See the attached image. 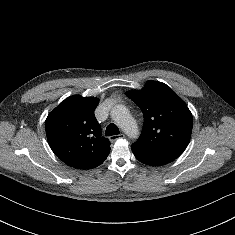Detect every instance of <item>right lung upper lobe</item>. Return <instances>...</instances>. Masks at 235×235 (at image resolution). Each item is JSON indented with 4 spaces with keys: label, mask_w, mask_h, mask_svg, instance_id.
<instances>
[{
    "label": "right lung upper lobe",
    "mask_w": 235,
    "mask_h": 235,
    "mask_svg": "<svg viewBox=\"0 0 235 235\" xmlns=\"http://www.w3.org/2000/svg\"><path fill=\"white\" fill-rule=\"evenodd\" d=\"M98 103V98L73 95L46 119V135L52 151L71 167L95 168L110 152V141L101 137V127L94 115Z\"/></svg>",
    "instance_id": "cb5924a9"
}]
</instances>
